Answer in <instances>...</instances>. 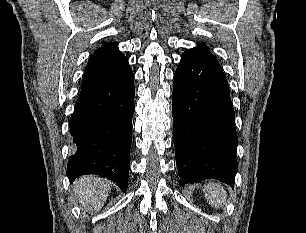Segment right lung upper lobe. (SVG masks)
<instances>
[{
  "label": "right lung upper lobe",
  "mask_w": 306,
  "mask_h": 233,
  "mask_svg": "<svg viewBox=\"0 0 306 233\" xmlns=\"http://www.w3.org/2000/svg\"><path fill=\"white\" fill-rule=\"evenodd\" d=\"M128 60L117 43H106L91 56L84 72L81 92L106 85L129 69Z\"/></svg>",
  "instance_id": "right-lung-upper-lobe-1"
}]
</instances>
